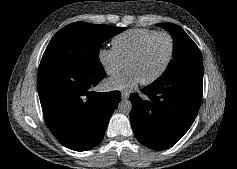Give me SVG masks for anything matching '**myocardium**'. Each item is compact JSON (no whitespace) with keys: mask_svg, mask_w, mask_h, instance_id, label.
<instances>
[{"mask_svg":"<svg viewBox=\"0 0 237 169\" xmlns=\"http://www.w3.org/2000/svg\"><path fill=\"white\" fill-rule=\"evenodd\" d=\"M158 36H166L170 42V50H169V54L168 57L164 63V65L162 66V68L153 76H151L150 78L146 79V80H142L140 81V83L142 85H148L151 83H154L155 81H157L159 78H161L164 73L167 71L172 59H173V55H174V50H175V43H174V39L171 36V34H169L168 32L165 31H160V32H156L155 34L149 36L139 47L138 49L127 59V61L125 62L126 68H128L129 64L135 60L136 58H138L143 51L145 50V48L147 47V45L156 37Z\"/></svg>","mask_w":237,"mask_h":169,"instance_id":"myocardium-1","label":"myocardium"}]
</instances>
